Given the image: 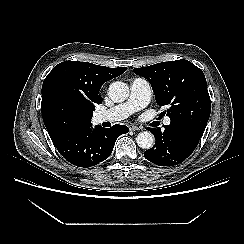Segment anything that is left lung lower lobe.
<instances>
[{
    "label": "left lung lower lobe",
    "mask_w": 244,
    "mask_h": 244,
    "mask_svg": "<svg viewBox=\"0 0 244 244\" xmlns=\"http://www.w3.org/2000/svg\"><path fill=\"white\" fill-rule=\"evenodd\" d=\"M164 127L163 132L160 128H148L156 142L144 152V157L159 166H174L192 154L202 134L178 125Z\"/></svg>",
    "instance_id": "0a47b994"
}]
</instances>
